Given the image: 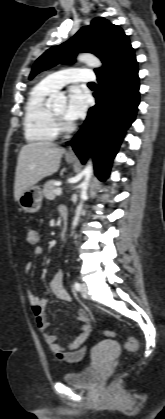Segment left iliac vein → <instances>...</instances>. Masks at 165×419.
Masks as SVG:
<instances>
[{"label": "left iliac vein", "instance_id": "4c4485c4", "mask_svg": "<svg viewBox=\"0 0 165 419\" xmlns=\"http://www.w3.org/2000/svg\"><path fill=\"white\" fill-rule=\"evenodd\" d=\"M80 292H81V296L83 297V298H87L88 297V287H87V285L86 284H82L81 285V290H80Z\"/></svg>", "mask_w": 165, "mask_h": 419}]
</instances>
